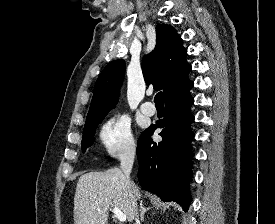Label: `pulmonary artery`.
<instances>
[{"label":"pulmonary artery","instance_id":"obj_1","mask_svg":"<svg viewBox=\"0 0 275 224\" xmlns=\"http://www.w3.org/2000/svg\"><path fill=\"white\" fill-rule=\"evenodd\" d=\"M141 111L148 116H153L156 113V108L151 102H144L141 105Z\"/></svg>","mask_w":275,"mask_h":224}]
</instances>
